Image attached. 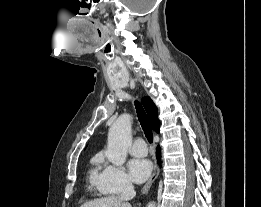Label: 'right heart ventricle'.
Returning <instances> with one entry per match:
<instances>
[{"instance_id":"1","label":"right heart ventricle","mask_w":261,"mask_h":207,"mask_svg":"<svg viewBox=\"0 0 261 207\" xmlns=\"http://www.w3.org/2000/svg\"><path fill=\"white\" fill-rule=\"evenodd\" d=\"M91 163H92V168L90 169L89 172L90 180L92 184L96 186V179L99 175L98 166L101 163V156L100 155L94 156L91 160Z\"/></svg>"}]
</instances>
